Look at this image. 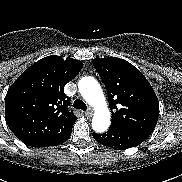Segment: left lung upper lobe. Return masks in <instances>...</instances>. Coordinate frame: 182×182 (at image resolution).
<instances>
[{"label": "left lung upper lobe", "instance_id": "obj_1", "mask_svg": "<svg viewBox=\"0 0 182 182\" xmlns=\"http://www.w3.org/2000/svg\"><path fill=\"white\" fill-rule=\"evenodd\" d=\"M92 62L108 93L113 110L111 126L151 134L158 120L159 102L145 76L120 58H96Z\"/></svg>", "mask_w": 182, "mask_h": 182}]
</instances>
